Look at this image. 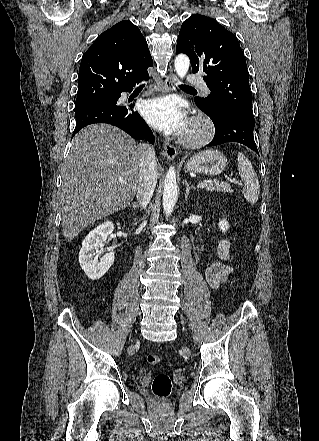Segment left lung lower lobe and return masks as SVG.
Segmentation results:
<instances>
[{
  "label": "left lung lower lobe",
  "instance_id": "1",
  "mask_svg": "<svg viewBox=\"0 0 319 441\" xmlns=\"http://www.w3.org/2000/svg\"><path fill=\"white\" fill-rule=\"evenodd\" d=\"M202 111L212 119L215 125V136L208 146L238 142L258 153L253 136L254 119L233 111H224L219 116H212Z\"/></svg>",
  "mask_w": 319,
  "mask_h": 441
}]
</instances>
